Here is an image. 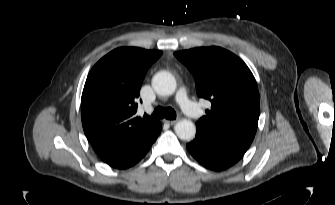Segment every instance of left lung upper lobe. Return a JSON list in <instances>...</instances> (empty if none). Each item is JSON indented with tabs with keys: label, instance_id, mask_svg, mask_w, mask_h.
<instances>
[{
	"label": "left lung upper lobe",
	"instance_id": "5c2ea615",
	"mask_svg": "<svg viewBox=\"0 0 335 205\" xmlns=\"http://www.w3.org/2000/svg\"><path fill=\"white\" fill-rule=\"evenodd\" d=\"M174 55L193 74L197 95L211 102V109L196 127L250 145L258 125L260 98L247 65L220 47H199Z\"/></svg>",
	"mask_w": 335,
	"mask_h": 205
}]
</instances>
